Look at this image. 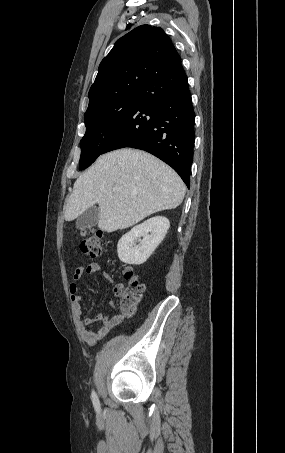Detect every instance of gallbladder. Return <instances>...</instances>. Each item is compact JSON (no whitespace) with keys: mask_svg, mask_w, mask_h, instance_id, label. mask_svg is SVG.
I'll return each instance as SVG.
<instances>
[{"mask_svg":"<svg viewBox=\"0 0 285 453\" xmlns=\"http://www.w3.org/2000/svg\"><path fill=\"white\" fill-rule=\"evenodd\" d=\"M100 212L97 206H92L84 211L76 220V228L85 230L95 226L99 220Z\"/></svg>","mask_w":285,"mask_h":453,"instance_id":"obj_1","label":"gallbladder"}]
</instances>
